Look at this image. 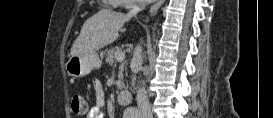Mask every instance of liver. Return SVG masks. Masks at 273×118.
Returning <instances> with one entry per match:
<instances>
[{
  "instance_id": "6515ba94",
  "label": "liver",
  "mask_w": 273,
  "mask_h": 118,
  "mask_svg": "<svg viewBox=\"0 0 273 118\" xmlns=\"http://www.w3.org/2000/svg\"><path fill=\"white\" fill-rule=\"evenodd\" d=\"M131 16L102 9L86 20L71 48V56L95 52L111 44Z\"/></svg>"
}]
</instances>
